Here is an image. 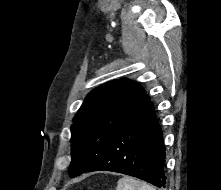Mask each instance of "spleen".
Returning a JSON list of instances; mask_svg holds the SVG:
<instances>
[{"mask_svg": "<svg viewBox=\"0 0 221 190\" xmlns=\"http://www.w3.org/2000/svg\"><path fill=\"white\" fill-rule=\"evenodd\" d=\"M116 190H155V188L145 182L124 177L118 181Z\"/></svg>", "mask_w": 221, "mask_h": 190, "instance_id": "spleen-1", "label": "spleen"}]
</instances>
